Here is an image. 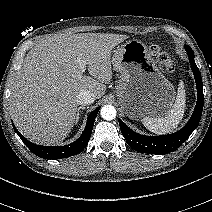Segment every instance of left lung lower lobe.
Returning a JSON list of instances; mask_svg holds the SVG:
<instances>
[{
  "label": "left lung lower lobe",
  "mask_w": 212,
  "mask_h": 212,
  "mask_svg": "<svg viewBox=\"0 0 212 212\" xmlns=\"http://www.w3.org/2000/svg\"><path fill=\"white\" fill-rule=\"evenodd\" d=\"M187 55L189 57V62L195 77L198 96L191 118L181 130L172 134L160 136L139 135L126 126L121 120H119V125L123 136L125 137L127 143L136 151L148 154H167L173 152L179 148L197 128L201 119L204 103L203 83L200 71L194 61L193 51H187Z\"/></svg>",
  "instance_id": "0a47b994"
}]
</instances>
